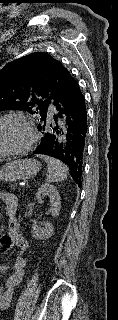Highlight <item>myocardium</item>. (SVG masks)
Returning a JSON list of instances; mask_svg holds the SVG:
<instances>
[{"label":"myocardium","mask_w":118,"mask_h":320,"mask_svg":"<svg viewBox=\"0 0 118 320\" xmlns=\"http://www.w3.org/2000/svg\"><path fill=\"white\" fill-rule=\"evenodd\" d=\"M5 121H18L22 123L26 129L27 137L24 143L19 147L9 149V150L0 149V156L18 155L28 151L36 141V137H37L36 130L33 123L29 120V118L20 114H7L4 116H0V123Z\"/></svg>","instance_id":"1"}]
</instances>
